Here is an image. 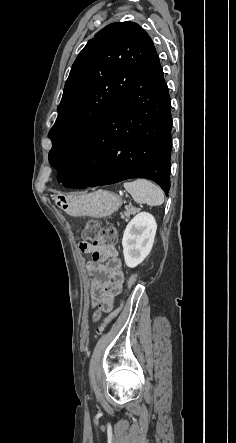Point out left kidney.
<instances>
[{
	"mask_svg": "<svg viewBox=\"0 0 236 443\" xmlns=\"http://www.w3.org/2000/svg\"><path fill=\"white\" fill-rule=\"evenodd\" d=\"M156 230L155 218L147 212L137 214L128 223L122 239L124 260L128 267L138 266L149 255Z\"/></svg>",
	"mask_w": 236,
	"mask_h": 443,
	"instance_id": "left-kidney-1",
	"label": "left kidney"
}]
</instances>
